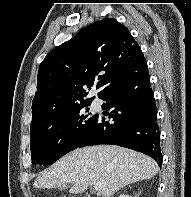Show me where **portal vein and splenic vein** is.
<instances>
[{
  "mask_svg": "<svg viewBox=\"0 0 191 197\" xmlns=\"http://www.w3.org/2000/svg\"><path fill=\"white\" fill-rule=\"evenodd\" d=\"M102 189V184L101 183H97L94 185V190L95 191H100Z\"/></svg>",
  "mask_w": 191,
  "mask_h": 197,
  "instance_id": "18ae733b",
  "label": "portal vein and splenic vein"
}]
</instances>
